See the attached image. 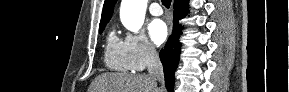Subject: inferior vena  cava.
<instances>
[{
    "label": "inferior vena cava",
    "mask_w": 289,
    "mask_h": 92,
    "mask_svg": "<svg viewBox=\"0 0 289 92\" xmlns=\"http://www.w3.org/2000/svg\"><path fill=\"white\" fill-rule=\"evenodd\" d=\"M147 57H148L147 69L149 76L154 81H160L161 83H163L164 73L162 63L160 61L157 51L150 44L147 46Z\"/></svg>",
    "instance_id": "inferior-vena-cava-1"
}]
</instances>
